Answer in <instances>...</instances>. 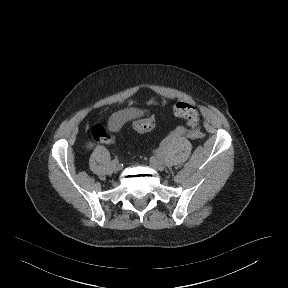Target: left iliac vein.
I'll return each instance as SVG.
<instances>
[{
    "label": "left iliac vein",
    "instance_id": "left-iliac-vein-1",
    "mask_svg": "<svg viewBox=\"0 0 288 288\" xmlns=\"http://www.w3.org/2000/svg\"><path fill=\"white\" fill-rule=\"evenodd\" d=\"M150 166L157 170H163V163L158 157L150 158Z\"/></svg>",
    "mask_w": 288,
    "mask_h": 288
}]
</instances>
